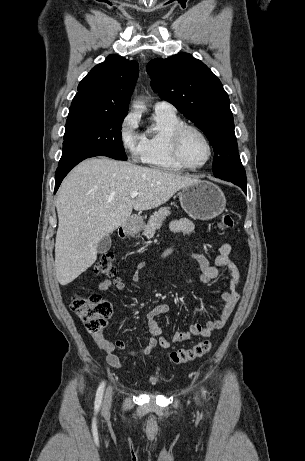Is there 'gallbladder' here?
Segmentation results:
<instances>
[{"label":"gallbladder","instance_id":"1","mask_svg":"<svg viewBox=\"0 0 305 461\" xmlns=\"http://www.w3.org/2000/svg\"><path fill=\"white\" fill-rule=\"evenodd\" d=\"M111 244V236L108 234L98 243L97 252L100 254L106 253L111 248Z\"/></svg>","mask_w":305,"mask_h":461}]
</instances>
